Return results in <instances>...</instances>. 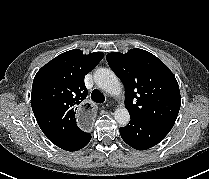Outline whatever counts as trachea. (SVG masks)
I'll list each match as a JSON object with an SVG mask.
<instances>
[{"mask_svg":"<svg viewBox=\"0 0 209 179\" xmlns=\"http://www.w3.org/2000/svg\"><path fill=\"white\" fill-rule=\"evenodd\" d=\"M91 99L96 103H103L105 101L104 95L97 89L92 91Z\"/></svg>","mask_w":209,"mask_h":179,"instance_id":"obj_1","label":"trachea"}]
</instances>
